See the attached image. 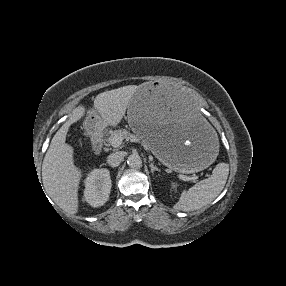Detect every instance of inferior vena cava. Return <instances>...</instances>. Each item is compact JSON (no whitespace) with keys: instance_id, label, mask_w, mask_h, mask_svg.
Returning <instances> with one entry per match:
<instances>
[{"instance_id":"obj_1","label":"inferior vena cava","mask_w":286,"mask_h":286,"mask_svg":"<svg viewBox=\"0 0 286 286\" xmlns=\"http://www.w3.org/2000/svg\"><path fill=\"white\" fill-rule=\"evenodd\" d=\"M124 155L122 152L111 153L107 158V163L112 167H117L123 161Z\"/></svg>"}]
</instances>
